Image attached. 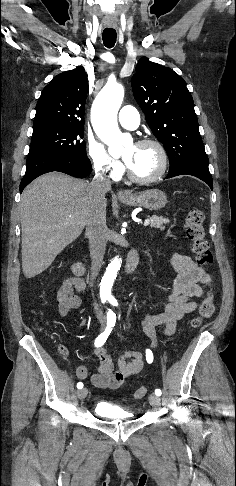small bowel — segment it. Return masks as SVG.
<instances>
[{
  "label": "small bowel",
  "instance_id": "obj_1",
  "mask_svg": "<svg viewBox=\"0 0 236 486\" xmlns=\"http://www.w3.org/2000/svg\"><path fill=\"white\" fill-rule=\"evenodd\" d=\"M170 264L178 274L173 281L170 294L161 303L163 311L157 314L146 313L141 320L143 331L151 340L153 348L157 345L156 327L163 326L166 335H172L178 321L197 309L194 299L202 297L203 287L210 283L205 271L192 258L181 252L172 256ZM82 290L83 283L76 277H69L63 281L56 295L58 313L61 317H65L70 310L79 308V293ZM95 355L99 365L91 381L94 386L103 389H121L129 377L142 370L145 363V355L138 351L123 352L118 357L116 365L103 348H97ZM76 375L79 379H86L87 367L78 366Z\"/></svg>",
  "mask_w": 236,
  "mask_h": 486
}]
</instances>
